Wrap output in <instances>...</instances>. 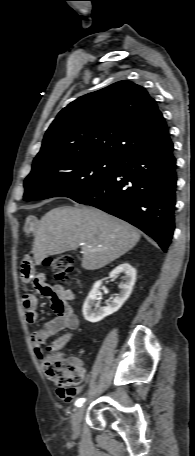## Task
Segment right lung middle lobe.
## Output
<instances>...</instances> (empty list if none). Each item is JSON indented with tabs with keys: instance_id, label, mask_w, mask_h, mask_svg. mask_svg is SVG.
Listing matches in <instances>:
<instances>
[{
	"instance_id": "right-lung-middle-lobe-1",
	"label": "right lung middle lobe",
	"mask_w": 195,
	"mask_h": 456,
	"mask_svg": "<svg viewBox=\"0 0 195 456\" xmlns=\"http://www.w3.org/2000/svg\"><path fill=\"white\" fill-rule=\"evenodd\" d=\"M118 161L104 157H66L33 166L25 179L26 201L74 199L93 190L116 171Z\"/></svg>"
}]
</instances>
